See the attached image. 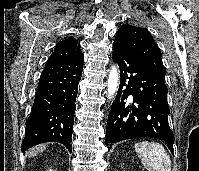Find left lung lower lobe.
I'll list each match as a JSON object with an SVG mask.
<instances>
[{
    "instance_id": "0a47b994",
    "label": "left lung lower lobe",
    "mask_w": 199,
    "mask_h": 171,
    "mask_svg": "<svg viewBox=\"0 0 199 171\" xmlns=\"http://www.w3.org/2000/svg\"><path fill=\"white\" fill-rule=\"evenodd\" d=\"M113 60L120 68V85L109 112L105 144L133 138L155 137L173 153L170 109L165 75L113 43Z\"/></svg>"
}]
</instances>
